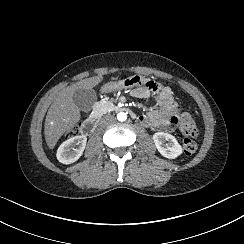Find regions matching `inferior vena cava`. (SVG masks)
<instances>
[{"label": "inferior vena cava", "instance_id": "inferior-vena-cava-1", "mask_svg": "<svg viewBox=\"0 0 244 244\" xmlns=\"http://www.w3.org/2000/svg\"><path fill=\"white\" fill-rule=\"evenodd\" d=\"M115 117H113V116H108L107 118H106V121H111V122H115Z\"/></svg>", "mask_w": 244, "mask_h": 244}]
</instances>
